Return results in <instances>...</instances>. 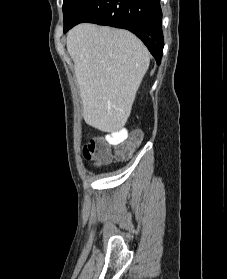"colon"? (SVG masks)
<instances>
[{"instance_id": "colon-1", "label": "colon", "mask_w": 227, "mask_h": 279, "mask_svg": "<svg viewBox=\"0 0 227 279\" xmlns=\"http://www.w3.org/2000/svg\"><path fill=\"white\" fill-rule=\"evenodd\" d=\"M141 141L142 132L136 130L125 142L115 147L113 153L103 140L94 139L83 147V157L86 161H92L97 164L108 163L113 156L125 160L132 155Z\"/></svg>"}]
</instances>
